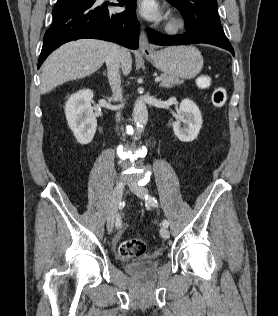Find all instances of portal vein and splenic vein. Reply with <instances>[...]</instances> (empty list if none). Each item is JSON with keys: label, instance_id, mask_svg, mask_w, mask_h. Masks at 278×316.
<instances>
[{"label": "portal vein and splenic vein", "instance_id": "18ae733b", "mask_svg": "<svg viewBox=\"0 0 278 316\" xmlns=\"http://www.w3.org/2000/svg\"><path fill=\"white\" fill-rule=\"evenodd\" d=\"M161 79H162L161 77H156V78H155V82L158 83V82L161 81Z\"/></svg>", "mask_w": 278, "mask_h": 316}]
</instances>
